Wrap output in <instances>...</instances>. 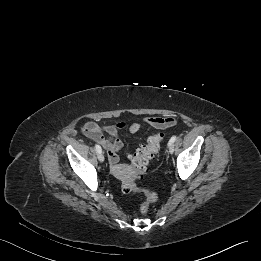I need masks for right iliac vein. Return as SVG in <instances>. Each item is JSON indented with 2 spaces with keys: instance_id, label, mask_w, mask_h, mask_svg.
<instances>
[{
  "instance_id": "obj_1",
  "label": "right iliac vein",
  "mask_w": 261,
  "mask_h": 261,
  "mask_svg": "<svg viewBox=\"0 0 261 261\" xmlns=\"http://www.w3.org/2000/svg\"><path fill=\"white\" fill-rule=\"evenodd\" d=\"M98 160H99L100 162H104V155L102 154V152H101V153H98Z\"/></svg>"
}]
</instances>
